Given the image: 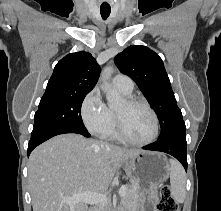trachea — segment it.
I'll use <instances>...</instances> for the list:
<instances>
[{
  "instance_id": "trachea-1",
  "label": "trachea",
  "mask_w": 221,
  "mask_h": 211,
  "mask_svg": "<svg viewBox=\"0 0 221 211\" xmlns=\"http://www.w3.org/2000/svg\"><path fill=\"white\" fill-rule=\"evenodd\" d=\"M110 12H111L110 8H100V13L104 20H106L109 17Z\"/></svg>"
}]
</instances>
